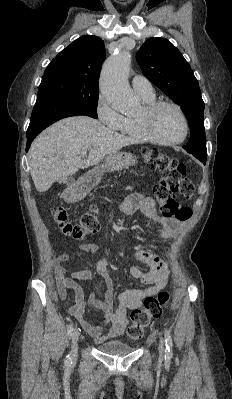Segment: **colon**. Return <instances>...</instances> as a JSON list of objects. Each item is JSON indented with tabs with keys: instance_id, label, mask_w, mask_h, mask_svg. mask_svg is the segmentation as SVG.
I'll return each mask as SVG.
<instances>
[{
	"instance_id": "5ec220e1",
	"label": "colon",
	"mask_w": 232,
	"mask_h": 399,
	"mask_svg": "<svg viewBox=\"0 0 232 399\" xmlns=\"http://www.w3.org/2000/svg\"><path fill=\"white\" fill-rule=\"evenodd\" d=\"M146 165L150 168H156V172H166L164 176L166 180L163 185L154 186L153 190L159 197L157 203H163L162 214L164 218H178L179 222H186L191 217L189 207H182V203H177V198H164L165 196H178L182 202H187L197 186L188 180V175H184V164L179 163L175 157H168L160 154L153 147H148L144 151ZM158 180H163V175H158ZM89 213H96V208H89ZM53 221L61 234L65 238L80 240L99 232V222L92 215H83L79 222H73L64 209H56L52 213ZM163 294H168V289H163ZM168 296H145V301H168ZM167 303H144V308H140L131 313L130 318V338H143L144 325H149V320H157L163 308H167ZM148 308V309H146Z\"/></svg>"
}]
</instances>
